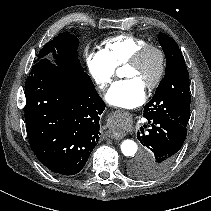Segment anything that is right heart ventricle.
<instances>
[{
    "mask_svg": "<svg viewBox=\"0 0 211 211\" xmlns=\"http://www.w3.org/2000/svg\"><path fill=\"white\" fill-rule=\"evenodd\" d=\"M147 41L132 34H121L103 41V51L116 67L121 66Z\"/></svg>",
    "mask_w": 211,
    "mask_h": 211,
    "instance_id": "e07e8e85",
    "label": "right heart ventricle"
}]
</instances>
